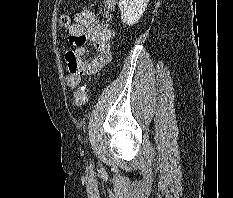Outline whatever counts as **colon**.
I'll list each match as a JSON object with an SVG mask.
<instances>
[{"label":"colon","mask_w":233,"mask_h":198,"mask_svg":"<svg viewBox=\"0 0 233 198\" xmlns=\"http://www.w3.org/2000/svg\"><path fill=\"white\" fill-rule=\"evenodd\" d=\"M59 25L63 29H68L71 25V19L67 15H63L59 18ZM68 70L75 71L76 70V63L74 60L73 55H68ZM87 100V89L85 85H81L77 88L74 93V102L77 106H82L85 104Z\"/></svg>","instance_id":"colon-1"}]
</instances>
